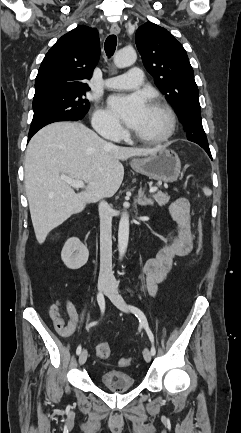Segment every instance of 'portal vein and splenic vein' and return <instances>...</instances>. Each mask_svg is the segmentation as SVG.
Returning a JSON list of instances; mask_svg holds the SVG:
<instances>
[{
	"mask_svg": "<svg viewBox=\"0 0 241 433\" xmlns=\"http://www.w3.org/2000/svg\"><path fill=\"white\" fill-rule=\"evenodd\" d=\"M61 179H62L63 181H65L66 183H68V184H69L70 186H72L73 188H84V187H85L83 181H80V180H74V179H71V178L66 177V176H61ZM157 190H158L157 187H152V188H150L149 192H150V193H154V192H156Z\"/></svg>",
	"mask_w": 241,
	"mask_h": 433,
	"instance_id": "portal-vein-and-splenic-vein-1",
	"label": "portal vein and splenic vein"
}]
</instances>
